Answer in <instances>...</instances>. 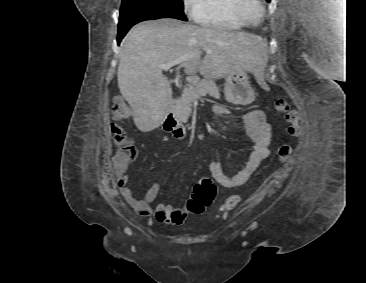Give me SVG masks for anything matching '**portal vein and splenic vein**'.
I'll list each match as a JSON object with an SVG mask.
<instances>
[{
	"label": "portal vein and splenic vein",
	"mask_w": 366,
	"mask_h": 283,
	"mask_svg": "<svg viewBox=\"0 0 366 283\" xmlns=\"http://www.w3.org/2000/svg\"><path fill=\"white\" fill-rule=\"evenodd\" d=\"M181 62L180 59L174 60V61H170L168 63L162 64L160 65V69L164 70V71H168L170 70V68H172L173 66L179 64ZM185 90L189 89L188 87L184 88Z\"/></svg>",
	"instance_id": "portal-vein-and-splenic-vein-1"
}]
</instances>
